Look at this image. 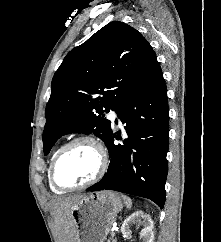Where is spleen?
Here are the masks:
<instances>
[{"instance_id": "spleen-1", "label": "spleen", "mask_w": 221, "mask_h": 242, "mask_svg": "<svg viewBox=\"0 0 221 242\" xmlns=\"http://www.w3.org/2000/svg\"><path fill=\"white\" fill-rule=\"evenodd\" d=\"M122 197L124 199V202H125L126 206L128 208H131L132 207V200L128 196H126V195H123Z\"/></svg>"}]
</instances>
